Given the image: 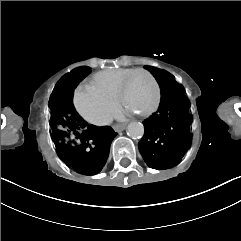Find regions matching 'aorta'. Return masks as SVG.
I'll return each mask as SVG.
<instances>
[{
    "label": "aorta",
    "instance_id": "aorta-1",
    "mask_svg": "<svg viewBox=\"0 0 241 241\" xmlns=\"http://www.w3.org/2000/svg\"><path fill=\"white\" fill-rule=\"evenodd\" d=\"M127 135L132 139H140L144 135V126L140 122H131L127 127Z\"/></svg>",
    "mask_w": 241,
    "mask_h": 241
}]
</instances>
